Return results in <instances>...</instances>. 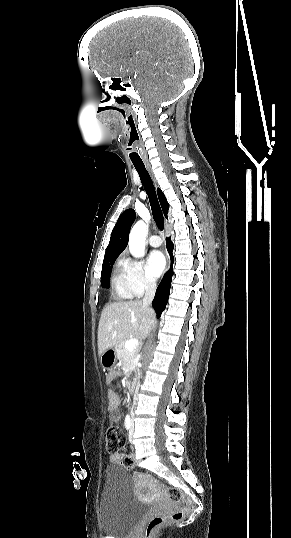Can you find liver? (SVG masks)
<instances>
[{
  "label": "liver",
  "instance_id": "1",
  "mask_svg": "<svg viewBox=\"0 0 291 538\" xmlns=\"http://www.w3.org/2000/svg\"><path fill=\"white\" fill-rule=\"evenodd\" d=\"M156 320L155 312L141 300L107 304L98 326V354L117 346L130 336L143 340Z\"/></svg>",
  "mask_w": 291,
  "mask_h": 538
}]
</instances>
